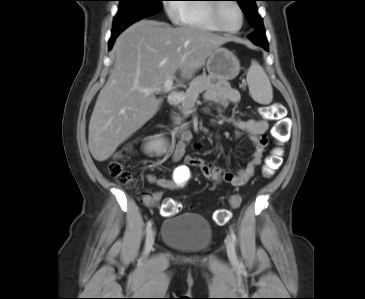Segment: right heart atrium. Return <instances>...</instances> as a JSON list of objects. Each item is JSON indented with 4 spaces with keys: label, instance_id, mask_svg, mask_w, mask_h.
Listing matches in <instances>:
<instances>
[{
    "label": "right heart atrium",
    "instance_id": "1",
    "mask_svg": "<svg viewBox=\"0 0 365 299\" xmlns=\"http://www.w3.org/2000/svg\"><path fill=\"white\" fill-rule=\"evenodd\" d=\"M165 2H168L167 4H165V9H166V12L168 14V16L171 18V19H176L177 17V14H178V11H179V8L177 7V5L174 3L176 1H173V0H167Z\"/></svg>",
    "mask_w": 365,
    "mask_h": 299
}]
</instances>
